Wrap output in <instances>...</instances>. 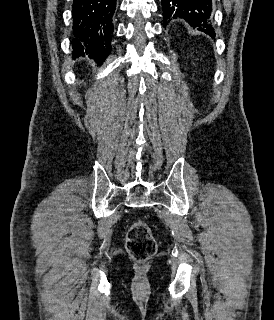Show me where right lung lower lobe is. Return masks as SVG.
<instances>
[{"mask_svg": "<svg viewBox=\"0 0 274 320\" xmlns=\"http://www.w3.org/2000/svg\"><path fill=\"white\" fill-rule=\"evenodd\" d=\"M116 0H74L73 54H90L96 60L106 58L111 49Z\"/></svg>", "mask_w": 274, "mask_h": 320, "instance_id": "98d812e1", "label": "right lung lower lobe"}]
</instances>
